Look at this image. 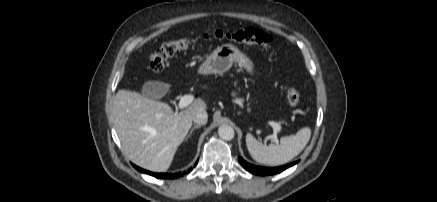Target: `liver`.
Wrapping results in <instances>:
<instances>
[{"instance_id": "1", "label": "liver", "mask_w": 437, "mask_h": 202, "mask_svg": "<svg viewBox=\"0 0 437 202\" xmlns=\"http://www.w3.org/2000/svg\"><path fill=\"white\" fill-rule=\"evenodd\" d=\"M206 108L204 100L197 98L186 109L174 112L166 103L121 89L112 113L124 154L144 169L163 172L188 134L193 115Z\"/></svg>"}]
</instances>
